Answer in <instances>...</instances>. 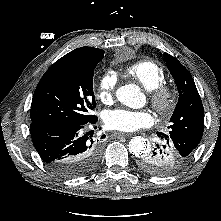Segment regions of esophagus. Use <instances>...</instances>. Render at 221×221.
<instances>
[{
	"label": "esophagus",
	"mask_w": 221,
	"mask_h": 221,
	"mask_svg": "<svg viewBox=\"0 0 221 221\" xmlns=\"http://www.w3.org/2000/svg\"><path fill=\"white\" fill-rule=\"evenodd\" d=\"M113 136H115L117 138H120V137H129V136H131V134H129V133H122V132H115V133H113Z\"/></svg>",
	"instance_id": "obj_1"
}]
</instances>
